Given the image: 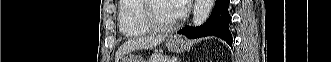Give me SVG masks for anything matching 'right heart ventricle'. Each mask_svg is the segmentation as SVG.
Returning <instances> with one entry per match:
<instances>
[{
	"label": "right heart ventricle",
	"mask_w": 331,
	"mask_h": 62,
	"mask_svg": "<svg viewBox=\"0 0 331 62\" xmlns=\"http://www.w3.org/2000/svg\"><path fill=\"white\" fill-rule=\"evenodd\" d=\"M142 0H120L118 5V25L120 32L128 38L146 35L150 30L140 20Z\"/></svg>",
	"instance_id": "e07e8e85"
}]
</instances>
